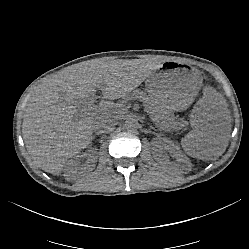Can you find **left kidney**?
<instances>
[{
    "mask_svg": "<svg viewBox=\"0 0 249 249\" xmlns=\"http://www.w3.org/2000/svg\"><path fill=\"white\" fill-rule=\"evenodd\" d=\"M158 141L164 142L163 140H158Z\"/></svg>",
    "mask_w": 249,
    "mask_h": 249,
    "instance_id": "5707ae66",
    "label": "left kidney"
}]
</instances>
